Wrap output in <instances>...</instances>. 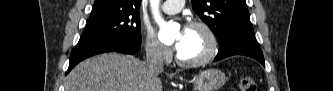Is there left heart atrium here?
Wrapping results in <instances>:
<instances>
[{"instance_id": "1", "label": "left heart atrium", "mask_w": 333, "mask_h": 91, "mask_svg": "<svg viewBox=\"0 0 333 91\" xmlns=\"http://www.w3.org/2000/svg\"><path fill=\"white\" fill-rule=\"evenodd\" d=\"M186 30L187 28H183L180 30L178 33L176 40H175V49L179 52L183 46L184 40H185V35H186Z\"/></svg>"}]
</instances>
